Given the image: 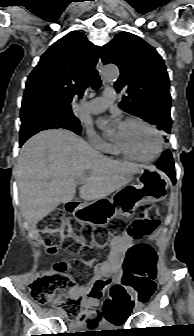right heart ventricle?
Listing matches in <instances>:
<instances>
[{"label": "right heart ventricle", "instance_id": "e07e8e85", "mask_svg": "<svg viewBox=\"0 0 194 336\" xmlns=\"http://www.w3.org/2000/svg\"><path fill=\"white\" fill-rule=\"evenodd\" d=\"M112 154H115V155H120L122 154L115 146H111L110 150L108 151Z\"/></svg>", "mask_w": 194, "mask_h": 336}]
</instances>
